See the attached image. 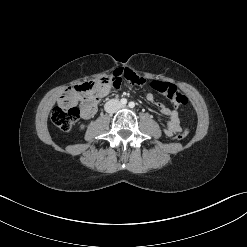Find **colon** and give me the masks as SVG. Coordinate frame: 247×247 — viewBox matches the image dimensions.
I'll return each mask as SVG.
<instances>
[{
	"mask_svg": "<svg viewBox=\"0 0 247 247\" xmlns=\"http://www.w3.org/2000/svg\"><path fill=\"white\" fill-rule=\"evenodd\" d=\"M121 81L120 78L110 75L97 82H88L74 86L71 92L61 97L58 105L52 110V122L63 131H70L80 117V110L74 105L77 93L84 95L82 102L87 106H92L97 103L98 91L102 87L111 85L114 88H119ZM130 81L138 85H142L145 82L143 78L138 76L130 79ZM151 87L158 93L168 97L177 106H184L188 103V98L173 84L153 81ZM188 133L187 130H184L176 135V139L183 140L188 136Z\"/></svg>",
	"mask_w": 247,
	"mask_h": 247,
	"instance_id": "colon-1",
	"label": "colon"
}]
</instances>
